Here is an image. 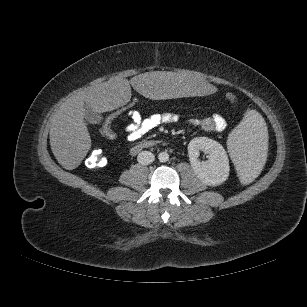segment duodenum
<instances>
[{"mask_svg": "<svg viewBox=\"0 0 307 307\" xmlns=\"http://www.w3.org/2000/svg\"><path fill=\"white\" fill-rule=\"evenodd\" d=\"M154 146V142L152 141H144V142H141V143H138L136 145H134L131 149V152L132 154H137L139 153L140 151L144 150V149H147V148H150Z\"/></svg>", "mask_w": 307, "mask_h": 307, "instance_id": "1", "label": "duodenum"}]
</instances>
